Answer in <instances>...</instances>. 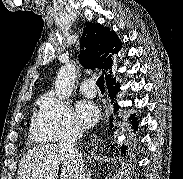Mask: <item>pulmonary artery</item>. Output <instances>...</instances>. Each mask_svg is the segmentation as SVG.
Listing matches in <instances>:
<instances>
[{
  "label": "pulmonary artery",
  "instance_id": "obj_1",
  "mask_svg": "<svg viewBox=\"0 0 183 179\" xmlns=\"http://www.w3.org/2000/svg\"><path fill=\"white\" fill-rule=\"evenodd\" d=\"M79 87L81 93L87 97H94L96 95V90L94 88V81L92 79L83 80L80 83Z\"/></svg>",
  "mask_w": 183,
  "mask_h": 179
}]
</instances>
